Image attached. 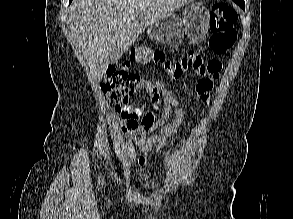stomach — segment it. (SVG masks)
Here are the masks:
<instances>
[{
  "instance_id": "obj_1",
  "label": "stomach",
  "mask_w": 293,
  "mask_h": 219,
  "mask_svg": "<svg viewBox=\"0 0 293 219\" xmlns=\"http://www.w3.org/2000/svg\"><path fill=\"white\" fill-rule=\"evenodd\" d=\"M210 15L201 3H192L184 10L183 19L172 14L150 25L149 38L172 48L179 47L186 36L192 43L202 42L208 34Z\"/></svg>"
}]
</instances>
